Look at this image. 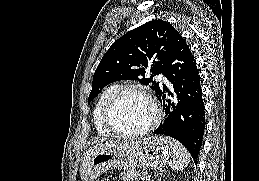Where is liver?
Wrapping results in <instances>:
<instances>
[{
	"mask_svg": "<svg viewBox=\"0 0 259 181\" xmlns=\"http://www.w3.org/2000/svg\"><path fill=\"white\" fill-rule=\"evenodd\" d=\"M128 142H118L113 140H98L96 146H105V147H111L114 145L123 146L124 144H127Z\"/></svg>",
	"mask_w": 259,
	"mask_h": 181,
	"instance_id": "liver-1",
	"label": "liver"
}]
</instances>
